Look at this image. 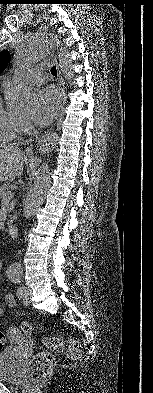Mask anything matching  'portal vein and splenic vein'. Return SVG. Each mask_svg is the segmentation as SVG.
Segmentation results:
<instances>
[{
  "label": "portal vein and splenic vein",
  "instance_id": "1",
  "mask_svg": "<svg viewBox=\"0 0 153 393\" xmlns=\"http://www.w3.org/2000/svg\"><path fill=\"white\" fill-rule=\"evenodd\" d=\"M12 197H13V195H12V193H10V194H8V195L4 198V200H10Z\"/></svg>",
  "mask_w": 153,
  "mask_h": 393
}]
</instances>
